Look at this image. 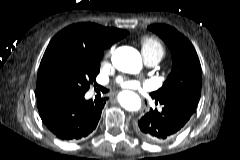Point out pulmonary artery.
<instances>
[{"label": "pulmonary artery", "instance_id": "e3ab8cb5", "mask_svg": "<svg viewBox=\"0 0 240 160\" xmlns=\"http://www.w3.org/2000/svg\"><path fill=\"white\" fill-rule=\"evenodd\" d=\"M143 57H144L145 64L148 65V66H155L161 60V57L159 55H156V54L143 53Z\"/></svg>", "mask_w": 240, "mask_h": 160}]
</instances>
